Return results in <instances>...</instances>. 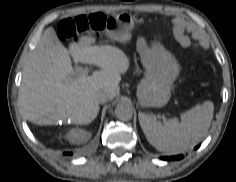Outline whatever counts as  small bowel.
<instances>
[{"label":"small bowel","mask_w":236,"mask_h":182,"mask_svg":"<svg viewBox=\"0 0 236 182\" xmlns=\"http://www.w3.org/2000/svg\"><path fill=\"white\" fill-rule=\"evenodd\" d=\"M173 23L175 25L174 31H175L176 39L181 45H186L188 42V39L184 35L185 23L177 17L173 19Z\"/></svg>","instance_id":"small-bowel-1"}]
</instances>
